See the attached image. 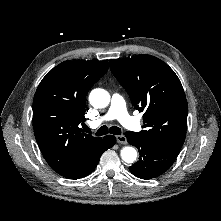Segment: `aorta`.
<instances>
[{
  "label": "aorta",
  "mask_w": 221,
  "mask_h": 221,
  "mask_svg": "<svg viewBox=\"0 0 221 221\" xmlns=\"http://www.w3.org/2000/svg\"><path fill=\"white\" fill-rule=\"evenodd\" d=\"M89 102L95 108H105L109 105L110 95L101 88L93 89L89 95ZM137 152L133 147L126 146L121 150V158L126 163H133L136 160Z\"/></svg>",
  "instance_id": "1"
}]
</instances>
